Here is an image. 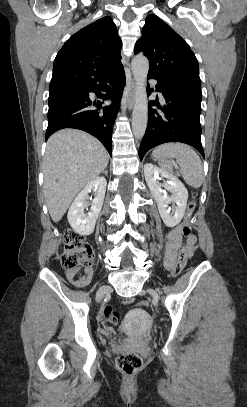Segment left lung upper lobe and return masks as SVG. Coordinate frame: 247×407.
I'll use <instances>...</instances> for the list:
<instances>
[{
    "mask_svg": "<svg viewBox=\"0 0 247 407\" xmlns=\"http://www.w3.org/2000/svg\"><path fill=\"white\" fill-rule=\"evenodd\" d=\"M135 54L150 60L149 76L201 87L198 61L185 40L154 14L148 15Z\"/></svg>",
    "mask_w": 247,
    "mask_h": 407,
    "instance_id": "obj_1",
    "label": "left lung upper lobe"
}]
</instances>
